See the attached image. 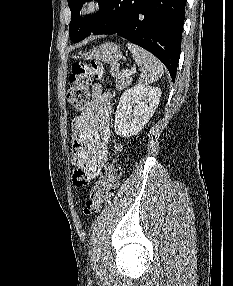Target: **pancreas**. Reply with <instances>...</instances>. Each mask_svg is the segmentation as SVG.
<instances>
[{"label": "pancreas", "mask_w": 233, "mask_h": 286, "mask_svg": "<svg viewBox=\"0 0 233 286\" xmlns=\"http://www.w3.org/2000/svg\"><path fill=\"white\" fill-rule=\"evenodd\" d=\"M110 73L116 80V88L118 90H123L127 86L131 84V79L129 77L124 76L122 72H119L117 69L112 68Z\"/></svg>", "instance_id": "1"}]
</instances>
